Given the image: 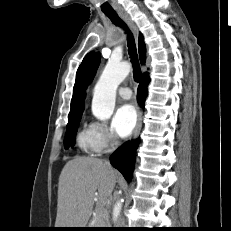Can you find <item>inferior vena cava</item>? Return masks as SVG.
<instances>
[{
  "label": "inferior vena cava",
  "instance_id": "inferior-vena-cava-1",
  "mask_svg": "<svg viewBox=\"0 0 231 231\" xmlns=\"http://www.w3.org/2000/svg\"><path fill=\"white\" fill-rule=\"evenodd\" d=\"M104 162L108 166H111L109 160H104ZM124 224H125V219L123 217L119 216L118 219L116 220V227L122 228L124 226Z\"/></svg>",
  "mask_w": 231,
  "mask_h": 231
}]
</instances>
